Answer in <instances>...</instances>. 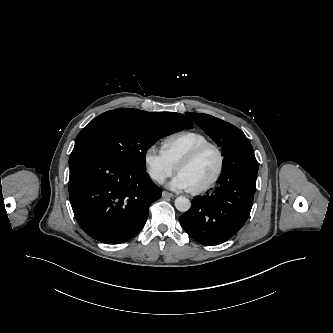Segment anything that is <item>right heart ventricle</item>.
<instances>
[{"label": "right heart ventricle", "mask_w": 333, "mask_h": 333, "mask_svg": "<svg viewBox=\"0 0 333 333\" xmlns=\"http://www.w3.org/2000/svg\"><path fill=\"white\" fill-rule=\"evenodd\" d=\"M208 142H210L209 139L199 132L180 131L166 137L162 141V151L177 166L180 160L189 152Z\"/></svg>", "instance_id": "e07e8e85"}]
</instances>
